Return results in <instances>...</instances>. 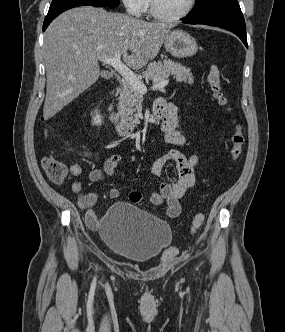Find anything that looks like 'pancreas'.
<instances>
[{"label": "pancreas", "instance_id": "pancreas-1", "mask_svg": "<svg viewBox=\"0 0 285 332\" xmlns=\"http://www.w3.org/2000/svg\"><path fill=\"white\" fill-rule=\"evenodd\" d=\"M174 75L177 82L194 83L191 70L172 60L150 63L147 70L142 73L145 81L165 79ZM119 107L124 120L131 127L140 123L139 114L142 110V95L137 92L126 80L122 84L119 97Z\"/></svg>", "mask_w": 285, "mask_h": 332}]
</instances>
